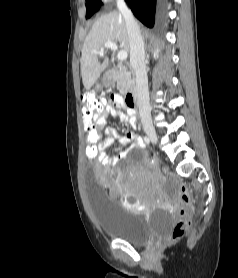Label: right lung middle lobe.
Masks as SVG:
<instances>
[{"instance_id": "1", "label": "right lung middle lobe", "mask_w": 238, "mask_h": 278, "mask_svg": "<svg viewBox=\"0 0 238 278\" xmlns=\"http://www.w3.org/2000/svg\"><path fill=\"white\" fill-rule=\"evenodd\" d=\"M101 6L100 0H87L86 2V18H90Z\"/></svg>"}]
</instances>
